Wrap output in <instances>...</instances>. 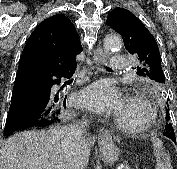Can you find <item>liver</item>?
Returning <instances> with one entry per match:
<instances>
[{
    "mask_svg": "<svg viewBox=\"0 0 177 169\" xmlns=\"http://www.w3.org/2000/svg\"><path fill=\"white\" fill-rule=\"evenodd\" d=\"M60 128L19 132L3 143L0 169H62ZM93 142L81 140L77 152L80 169L90 157Z\"/></svg>",
    "mask_w": 177,
    "mask_h": 169,
    "instance_id": "6515ba94",
    "label": "liver"
}]
</instances>
